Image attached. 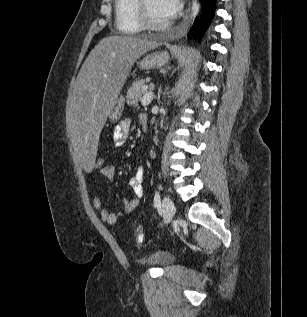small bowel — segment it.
Wrapping results in <instances>:
<instances>
[{"mask_svg":"<svg viewBox=\"0 0 307 317\" xmlns=\"http://www.w3.org/2000/svg\"><path fill=\"white\" fill-rule=\"evenodd\" d=\"M130 133V120L123 119L113 131V141L115 146L122 147L124 146L128 139ZM115 166L113 164H106L101 170V175L108 179L112 180L115 176ZM145 176V171L143 167L137 168L134 176L129 181V186L133 192L132 198H124L122 200V207L125 214H130L133 212L139 205V200L143 196V180ZM93 207L100 214L101 219L108 224H116L119 219L122 217L120 214L112 213L103 206L101 198L95 194L93 197Z\"/></svg>","mask_w":307,"mask_h":317,"instance_id":"small-bowel-1","label":"small bowel"}]
</instances>
